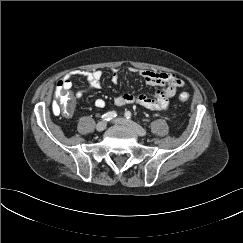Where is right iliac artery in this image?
<instances>
[{
  "label": "right iliac artery",
  "instance_id": "1",
  "mask_svg": "<svg viewBox=\"0 0 243 243\" xmlns=\"http://www.w3.org/2000/svg\"><path fill=\"white\" fill-rule=\"evenodd\" d=\"M116 116H117V114L115 111H110V112H107L104 115H102V119L109 121V120L115 118Z\"/></svg>",
  "mask_w": 243,
  "mask_h": 243
}]
</instances>
